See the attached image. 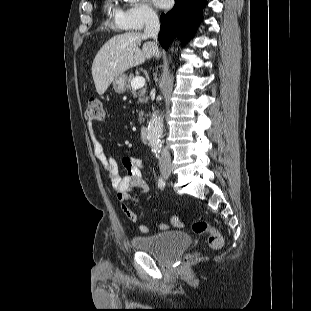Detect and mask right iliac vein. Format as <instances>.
Masks as SVG:
<instances>
[{
  "mask_svg": "<svg viewBox=\"0 0 311 311\" xmlns=\"http://www.w3.org/2000/svg\"><path fill=\"white\" fill-rule=\"evenodd\" d=\"M161 173L164 177H170L171 176V168L170 167H163L161 169Z\"/></svg>",
  "mask_w": 311,
  "mask_h": 311,
  "instance_id": "right-iliac-vein-1",
  "label": "right iliac vein"
}]
</instances>
